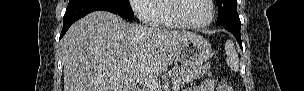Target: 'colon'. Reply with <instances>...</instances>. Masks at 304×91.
Segmentation results:
<instances>
[{
  "label": "colon",
  "mask_w": 304,
  "mask_h": 91,
  "mask_svg": "<svg viewBox=\"0 0 304 91\" xmlns=\"http://www.w3.org/2000/svg\"><path fill=\"white\" fill-rule=\"evenodd\" d=\"M218 91H234V88L224 79H217Z\"/></svg>",
  "instance_id": "colon-1"
}]
</instances>
